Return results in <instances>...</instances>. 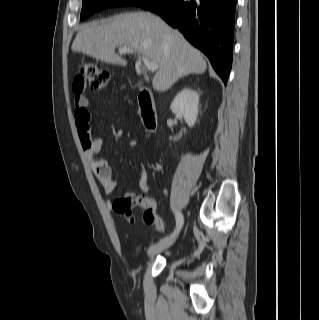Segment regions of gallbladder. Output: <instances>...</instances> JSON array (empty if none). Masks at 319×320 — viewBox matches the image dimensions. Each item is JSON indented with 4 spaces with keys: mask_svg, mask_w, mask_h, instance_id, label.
Instances as JSON below:
<instances>
[{
    "mask_svg": "<svg viewBox=\"0 0 319 320\" xmlns=\"http://www.w3.org/2000/svg\"><path fill=\"white\" fill-rule=\"evenodd\" d=\"M140 85H141V83L139 82V83H138V86H140Z\"/></svg>",
    "mask_w": 319,
    "mask_h": 320,
    "instance_id": "obj_1",
    "label": "gallbladder"
}]
</instances>
